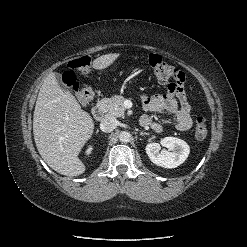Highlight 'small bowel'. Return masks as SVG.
Instances as JSON below:
<instances>
[{
  "label": "small bowel",
  "mask_w": 247,
  "mask_h": 247,
  "mask_svg": "<svg viewBox=\"0 0 247 247\" xmlns=\"http://www.w3.org/2000/svg\"><path fill=\"white\" fill-rule=\"evenodd\" d=\"M141 101L146 111L173 115L179 131H187L192 126L191 106L187 101L183 83L169 86L164 94H142ZM141 119L146 123L145 126H150L156 132L162 131V126L149 116H142Z\"/></svg>",
  "instance_id": "1"
}]
</instances>
